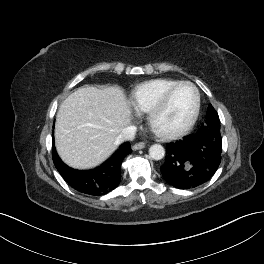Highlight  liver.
Returning <instances> with one entry per match:
<instances>
[{"instance_id": "1", "label": "liver", "mask_w": 264, "mask_h": 264, "mask_svg": "<svg viewBox=\"0 0 264 264\" xmlns=\"http://www.w3.org/2000/svg\"><path fill=\"white\" fill-rule=\"evenodd\" d=\"M131 116L121 88L77 89L57 112L55 145L59 156L77 169L99 165L118 148L116 137L130 124Z\"/></svg>"}]
</instances>
